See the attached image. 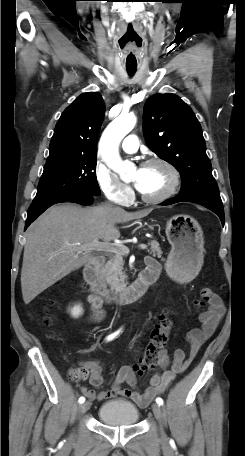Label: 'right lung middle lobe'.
I'll return each mask as SVG.
<instances>
[{
	"label": "right lung middle lobe",
	"instance_id": "1",
	"mask_svg": "<svg viewBox=\"0 0 245 456\" xmlns=\"http://www.w3.org/2000/svg\"><path fill=\"white\" fill-rule=\"evenodd\" d=\"M96 157L81 156L46 163L33 203L64 195H99Z\"/></svg>",
	"mask_w": 245,
	"mask_h": 456
}]
</instances>
